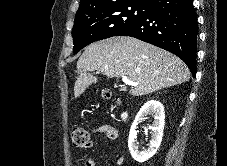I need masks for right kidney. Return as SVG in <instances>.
Segmentation results:
<instances>
[{
    "mask_svg": "<svg viewBox=\"0 0 227 166\" xmlns=\"http://www.w3.org/2000/svg\"><path fill=\"white\" fill-rule=\"evenodd\" d=\"M147 115L154 117L152 126L149 129L152 130L151 140L148 144V148L143 151L138 150L137 145V125L140 123ZM164 106L162 103L156 100H150L146 102L140 111L138 112L129 133L128 147L131 153V156L137 162H145L151 158L158 150L163 136L164 130Z\"/></svg>",
    "mask_w": 227,
    "mask_h": 166,
    "instance_id": "ca27d5eb",
    "label": "right kidney"
}]
</instances>
